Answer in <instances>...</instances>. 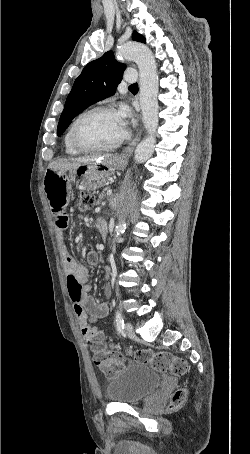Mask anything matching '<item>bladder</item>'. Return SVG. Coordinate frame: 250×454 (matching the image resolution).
<instances>
[{
	"mask_svg": "<svg viewBox=\"0 0 250 454\" xmlns=\"http://www.w3.org/2000/svg\"><path fill=\"white\" fill-rule=\"evenodd\" d=\"M161 380L162 376L147 364L132 363L106 382V396L115 403H138L152 394Z\"/></svg>",
	"mask_w": 250,
	"mask_h": 454,
	"instance_id": "1",
	"label": "bladder"
}]
</instances>
